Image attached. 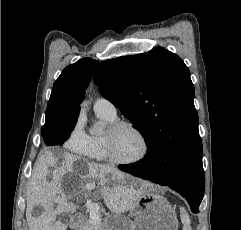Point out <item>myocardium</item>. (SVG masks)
Returning <instances> with one entry per match:
<instances>
[{
	"label": "myocardium",
	"instance_id": "f54148a6",
	"mask_svg": "<svg viewBox=\"0 0 241 230\" xmlns=\"http://www.w3.org/2000/svg\"><path fill=\"white\" fill-rule=\"evenodd\" d=\"M124 127L130 128L131 130H133L140 137L142 141V144H143L142 153L135 159L121 160L115 156L114 149H113V138H114V135L121 128H124ZM104 146H105V152L108 160L113 164L120 165V166L134 165V164L140 163L147 157L149 153V142L144 132L132 122L124 121V120L114 121L109 125L107 132L104 135Z\"/></svg>",
	"mask_w": 241,
	"mask_h": 230
}]
</instances>
